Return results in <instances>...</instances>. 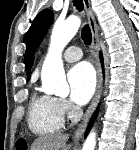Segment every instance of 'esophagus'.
Instances as JSON below:
<instances>
[{
  "mask_svg": "<svg viewBox=\"0 0 139 150\" xmlns=\"http://www.w3.org/2000/svg\"><path fill=\"white\" fill-rule=\"evenodd\" d=\"M83 3H84L85 11L87 14L90 30L92 33V48H93V54L96 60L98 82H97V89H96L95 95L92 99L90 106L87 109L86 115L83 121L78 125L77 129L74 132V135H73L74 140H78L79 138H81L86 129L89 118L91 117L93 111L95 110L99 102L101 92H102V81H103L102 69H101V64L99 61L98 29H97V24L95 21L94 12L92 10L90 0H83Z\"/></svg>",
  "mask_w": 139,
  "mask_h": 150,
  "instance_id": "34e87169",
  "label": "esophagus"
}]
</instances>
